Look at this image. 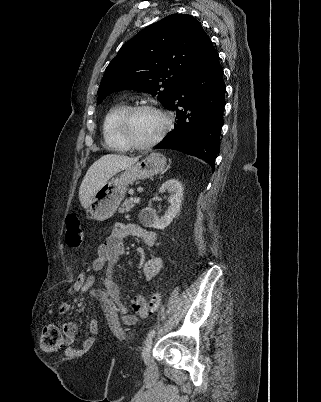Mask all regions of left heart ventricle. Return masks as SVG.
I'll return each instance as SVG.
<instances>
[{"label": "left heart ventricle", "instance_id": "1", "mask_svg": "<svg viewBox=\"0 0 321 402\" xmlns=\"http://www.w3.org/2000/svg\"><path fill=\"white\" fill-rule=\"evenodd\" d=\"M164 125L160 114L150 110L135 113L129 122V133L132 138L145 144L158 136Z\"/></svg>", "mask_w": 321, "mask_h": 402}]
</instances>
